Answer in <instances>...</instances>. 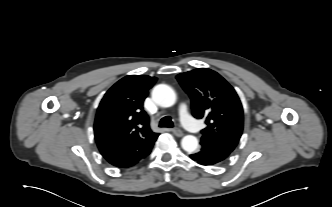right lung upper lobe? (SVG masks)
I'll use <instances>...</instances> for the list:
<instances>
[{
	"mask_svg": "<svg viewBox=\"0 0 332 207\" xmlns=\"http://www.w3.org/2000/svg\"><path fill=\"white\" fill-rule=\"evenodd\" d=\"M156 80L147 75H128L101 100L94 133L101 154L110 164L128 168L150 153L159 134L150 129L143 102Z\"/></svg>",
	"mask_w": 332,
	"mask_h": 207,
	"instance_id": "right-lung-upper-lobe-1",
	"label": "right lung upper lobe"
}]
</instances>
